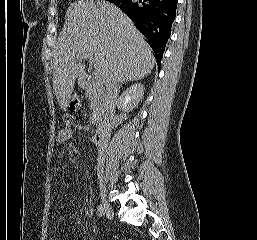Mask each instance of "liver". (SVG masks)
Segmentation results:
<instances>
[{
    "label": "liver",
    "instance_id": "liver-1",
    "mask_svg": "<svg viewBox=\"0 0 257 240\" xmlns=\"http://www.w3.org/2000/svg\"><path fill=\"white\" fill-rule=\"evenodd\" d=\"M92 54L96 79L104 85L114 76L120 83L151 73L155 59L133 22L114 4L80 0L66 11V22L54 54L53 90L66 110L75 81L85 77L83 56Z\"/></svg>",
    "mask_w": 257,
    "mask_h": 240
}]
</instances>
